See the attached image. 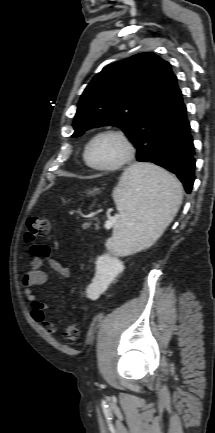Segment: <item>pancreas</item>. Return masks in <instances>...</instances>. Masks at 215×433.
I'll use <instances>...</instances> for the list:
<instances>
[{
    "mask_svg": "<svg viewBox=\"0 0 215 433\" xmlns=\"http://www.w3.org/2000/svg\"><path fill=\"white\" fill-rule=\"evenodd\" d=\"M90 225H91L90 223H86L83 225V228L86 229V228L90 227ZM96 228H98V224H96Z\"/></svg>",
    "mask_w": 215,
    "mask_h": 433,
    "instance_id": "obj_1",
    "label": "pancreas"
}]
</instances>
